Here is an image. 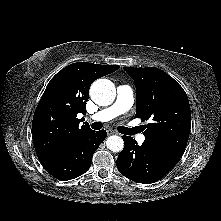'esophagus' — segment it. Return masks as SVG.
<instances>
[{
    "label": "esophagus",
    "instance_id": "34e87169",
    "mask_svg": "<svg viewBox=\"0 0 221 221\" xmlns=\"http://www.w3.org/2000/svg\"><path fill=\"white\" fill-rule=\"evenodd\" d=\"M107 134L110 136V135L117 134V133L112 129H108Z\"/></svg>",
    "mask_w": 221,
    "mask_h": 221
}]
</instances>
